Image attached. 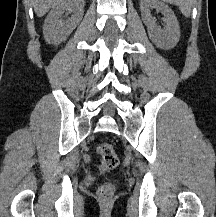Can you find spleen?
Instances as JSON below:
<instances>
[{
	"label": "spleen",
	"mask_w": 216,
	"mask_h": 217,
	"mask_svg": "<svg viewBox=\"0 0 216 217\" xmlns=\"http://www.w3.org/2000/svg\"><path fill=\"white\" fill-rule=\"evenodd\" d=\"M166 3L173 4L179 7L182 14L189 17L192 11L194 0H163Z\"/></svg>",
	"instance_id": "obj_1"
}]
</instances>
